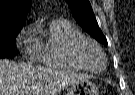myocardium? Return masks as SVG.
<instances>
[{"label": "myocardium", "mask_w": 135, "mask_h": 95, "mask_svg": "<svg viewBox=\"0 0 135 95\" xmlns=\"http://www.w3.org/2000/svg\"><path fill=\"white\" fill-rule=\"evenodd\" d=\"M85 45H90L94 47L98 52L101 54L104 64L102 68L100 69H92L90 68L85 61L82 58L81 50ZM69 55L79 66H81L83 69L88 70L93 73H99L102 72L106 66H107V57L103 51V49L92 39L81 36L79 38L74 39L69 46Z\"/></svg>", "instance_id": "myocardium-1"}]
</instances>
